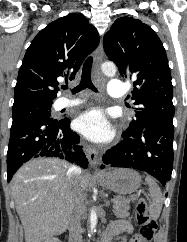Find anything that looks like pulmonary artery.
<instances>
[{"instance_id":"pulmonary-artery-1","label":"pulmonary artery","mask_w":187,"mask_h":242,"mask_svg":"<svg viewBox=\"0 0 187 242\" xmlns=\"http://www.w3.org/2000/svg\"><path fill=\"white\" fill-rule=\"evenodd\" d=\"M108 94L114 98H121L125 94V85L123 82L112 79L108 84ZM79 103L78 100H70V99H62L60 103V107H70L77 105Z\"/></svg>"}]
</instances>
